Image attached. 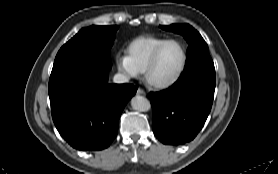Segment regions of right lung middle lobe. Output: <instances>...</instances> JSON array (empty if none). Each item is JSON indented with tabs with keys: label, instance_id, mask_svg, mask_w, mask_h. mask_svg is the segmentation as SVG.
I'll return each instance as SVG.
<instances>
[{
	"label": "right lung middle lobe",
	"instance_id": "obj_1",
	"mask_svg": "<svg viewBox=\"0 0 278 174\" xmlns=\"http://www.w3.org/2000/svg\"><path fill=\"white\" fill-rule=\"evenodd\" d=\"M118 26L82 28L56 55L52 71L67 64L81 63L103 69L112 67L110 48Z\"/></svg>",
	"mask_w": 278,
	"mask_h": 174
}]
</instances>
